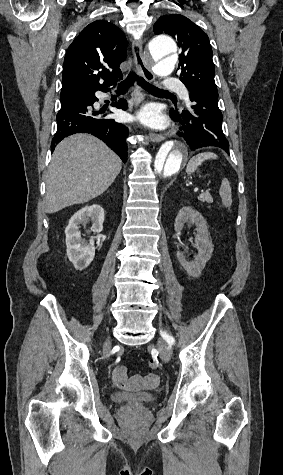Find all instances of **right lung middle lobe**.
<instances>
[{
  "label": "right lung middle lobe",
  "mask_w": 283,
  "mask_h": 475,
  "mask_svg": "<svg viewBox=\"0 0 283 475\" xmlns=\"http://www.w3.org/2000/svg\"><path fill=\"white\" fill-rule=\"evenodd\" d=\"M75 92H79L78 90H74V89H69V88H66V89H62L61 90V94H60V98H63L65 96H68L70 94H73Z\"/></svg>",
  "instance_id": "obj_1"
}]
</instances>
